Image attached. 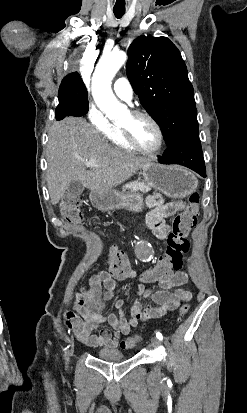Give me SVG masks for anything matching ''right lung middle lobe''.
Instances as JSON below:
<instances>
[{"label":"right lung middle lobe","mask_w":247,"mask_h":413,"mask_svg":"<svg viewBox=\"0 0 247 413\" xmlns=\"http://www.w3.org/2000/svg\"><path fill=\"white\" fill-rule=\"evenodd\" d=\"M59 102H67L77 108L80 116L88 112V93L82 80L62 81L58 92Z\"/></svg>","instance_id":"1"}]
</instances>
